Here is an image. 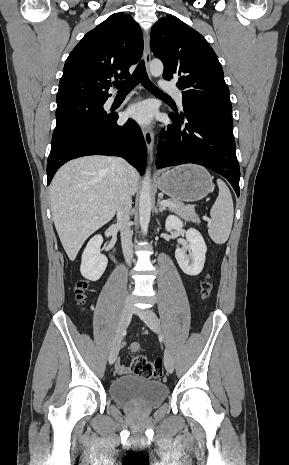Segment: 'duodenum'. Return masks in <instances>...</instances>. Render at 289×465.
I'll return each instance as SVG.
<instances>
[{"label":"duodenum","mask_w":289,"mask_h":465,"mask_svg":"<svg viewBox=\"0 0 289 465\" xmlns=\"http://www.w3.org/2000/svg\"><path fill=\"white\" fill-rule=\"evenodd\" d=\"M109 245H110L112 251L115 252V251H116V247H115V239H114L113 236H110V237H109Z\"/></svg>","instance_id":"duodenum-1"}]
</instances>
